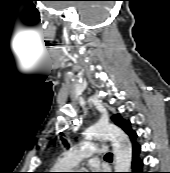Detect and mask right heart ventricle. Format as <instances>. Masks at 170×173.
Returning <instances> with one entry per match:
<instances>
[{"label":"right heart ventricle","instance_id":"1","mask_svg":"<svg viewBox=\"0 0 170 173\" xmlns=\"http://www.w3.org/2000/svg\"><path fill=\"white\" fill-rule=\"evenodd\" d=\"M64 165H66V160L64 158V156L60 157L57 161V164H56V169H65V168H68V167H64Z\"/></svg>","mask_w":170,"mask_h":173}]
</instances>
